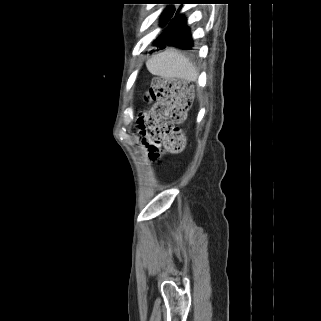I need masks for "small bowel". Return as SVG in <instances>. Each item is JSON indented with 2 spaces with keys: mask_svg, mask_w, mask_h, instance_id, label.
<instances>
[{
  "mask_svg": "<svg viewBox=\"0 0 321 321\" xmlns=\"http://www.w3.org/2000/svg\"><path fill=\"white\" fill-rule=\"evenodd\" d=\"M146 115H141L137 120L138 132L140 134V141L143 148H146L149 151V156L152 158L151 153L155 149V144L152 140L151 134L146 130Z\"/></svg>",
  "mask_w": 321,
  "mask_h": 321,
  "instance_id": "1",
  "label": "small bowel"
}]
</instances>
